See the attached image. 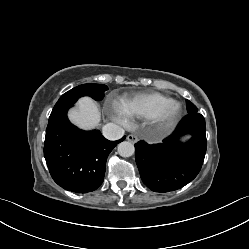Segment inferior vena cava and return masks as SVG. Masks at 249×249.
Wrapping results in <instances>:
<instances>
[{"label": "inferior vena cava", "mask_w": 249, "mask_h": 249, "mask_svg": "<svg viewBox=\"0 0 249 249\" xmlns=\"http://www.w3.org/2000/svg\"><path fill=\"white\" fill-rule=\"evenodd\" d=\"M102 133L109 140H118L124 135V129L114 123H108L103 126Z\"/></svg>", "instance_id": "1"}]
</instances>
